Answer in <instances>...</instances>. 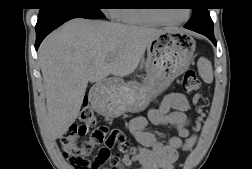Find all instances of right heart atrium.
Returning a JSON list of instances; mask_svg holds the SVG:
<instances>
[{"label": "right heart atrium", "mask_w": 252, "mask_h": 169, "mask_svg": "<svg viewBox=\"0 0 252 169\" xmlns=\"http://www.w3.org/2000/svg\"><path fill=\"white\" fill-rule=\"evenodd\" d=\"M118 10L119 9H106V13H107L109 18L117 19L118 18V15H117Z\"/></svg>", "instance_id": "obj_1"}]
</instances>
